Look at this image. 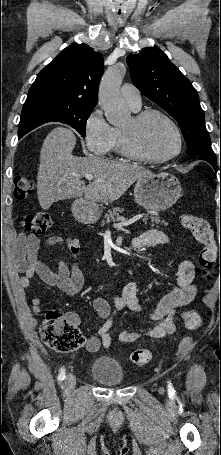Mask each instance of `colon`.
<instances>
[{
    "label": "colon",
    "instance_id": "1",
    "mask_svg": "<svg viewBox=\"0 0 221 455\" xmlns=\"http://www.w3.org/2000/svg\"><path fill=\"white\" fill-rule=\"evenodd\" d=\"M34 190L35 182L33 179L26 176L16 178L13 190L16 199H24L31 195ZM53 224V217L44 212L30 213L25 215L23 219V225L27 231H35L40 234L49 231ZM182 225L202 245L199 252V266L203 275H207L214 267L220 254L213 232L204 218L192 214L182 216ZM182 320L187 327L192 329L200 325L199 314L195 311L183 312ZM40 334L50 349L60 353L77 350L85 342L79 328L70 317L64 315L60 310H51L46 314ZM150 359L151 353L146 349H138L131 354V362L137 366L147 364Z\"/></svg>",
    "mask_w": 221,
    "mask_h": 455
}]
</instances>
